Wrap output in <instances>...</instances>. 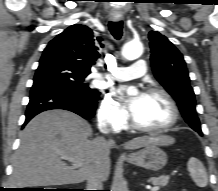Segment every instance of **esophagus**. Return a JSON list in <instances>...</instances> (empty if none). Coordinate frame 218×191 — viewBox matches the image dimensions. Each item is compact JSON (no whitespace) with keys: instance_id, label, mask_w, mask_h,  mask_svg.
<instances>
[{"instance_id":"1","label":"esophagus","mask_w":218,"mask_h":191,"mask_svg":"<svg viewBox=\"0 0 218 191\" xmlns=\"http://www.w3.org/2000/svg\"><path fill=\"white\" fill-rule=\"evenodd\" d=\"M111 19L115 22H119L122 20V16H121V13L120 11H118L117 9L116 10H113L112 13H111Z\"/></svg>"}]
</instances>
